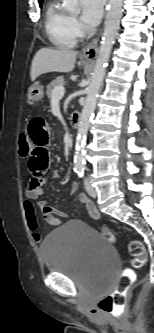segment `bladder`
<instances>
[{"label": "bladder", "mask_w": 154, "mask_h": 333, "mask_svg": "<svg viewBox=\"0 0 154 333\" xmlns=\"http://www.w3.org/2000/svg\"><path fill=\"white\" fill-rule=\"evenodd\" d=\"M40 251L46 270L62 273L85 288L105 292L115 279V249L85 222L71 220L52 230Z\"/></svg>", "instance_id": "bladder-1"}]
</instances>
